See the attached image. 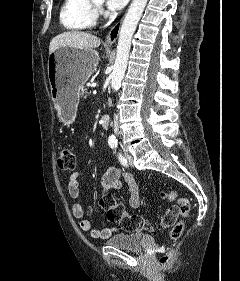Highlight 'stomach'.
I'll return each mask as SVG.
<instances>
[{
  "instance_id": "0dacf381",
  "label": "stomach",
  "mask_w": 240,
  "mask_h": 281,
  "mask_svg": "<svg viewBox=\"0 0 240 281\" xmlns=\"http://www.w3.org/2000/svg\"><path fill=\"white\" fill-rule=\"evenodd\" d=\"M99 54L94 49L61 46L49 54L47 71L50 94L65 122L76 116L79 92L96 70Z\"/></svg>"
}]
</instances>
